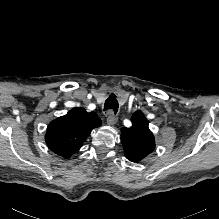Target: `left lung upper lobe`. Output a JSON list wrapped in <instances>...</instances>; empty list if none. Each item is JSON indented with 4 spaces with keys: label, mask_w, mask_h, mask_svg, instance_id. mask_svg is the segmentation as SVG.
Returning <instances> with one entry per match:
<instances>
[{
    "label": "left lung upper lobe",
    "mask_w": 219,
    "mask_h": 219,
    "mask_svg": "<svg viewBox=\"0 0 219 219\" xmlns=\"http://www.w3.org/2000/svg\"><path fill=\"white\" fill-rule=\"evenodd\" d=\"M131 121V128L122 129L121 141L126 158L132 162H139L155 149V139L149 130V121L141 111H136Z\"/></svg>",
    "instance_id": "5c2ea615"
}]
</instances>
